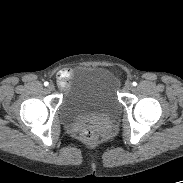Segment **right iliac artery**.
<instances>
[{
	"instance_id": "82829eb1",
	"label": "right iliac artery",
	"mask_w": 183,
	"mask_h": 183,
	"mask_svg": "<svg viewBox=\"0 0 183 183\" xmlns=\"http://www.w3.org/2000/svg\"><path fill=\"white\" fill-rule=\"evenodd\" d=\"M49 85V83L46 81V82H44V86H48Z\"/></svg>"
}]
</instances>
